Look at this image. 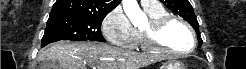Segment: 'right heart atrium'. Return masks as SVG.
<instances>
[{
	"mask_svg": "<svg viewBox=\"0 0 246 69\" xmlns=\"http://www.w3.org/2000/svg\"><path fill=\"white\" fill-rule=\"evenodd\" d=\"M102 32L113 45L132 47L135 40V29L121 7L110 11L102 22Z\"/></svg>",
	"mask_w": 246,
	"mask_h": 69,
	"instance_id": "d8ad5b80",
	"label": "right heart atrium"
}]
</instances>
